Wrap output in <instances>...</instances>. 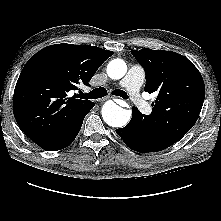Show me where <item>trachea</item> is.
<instances>
[{
    "mask_svg": "<svg viewBox=\"0 0 221 221\" xmlns=\"http://www.w3.org/2000/svg\"><path fill=\"white\" fill-rule=\"evenodd\" d=\"M107 95V90L104 87L96 88L93 91L86 93V94H81L80 98L82 99H97V98H102ZM112 95H116L119 97H122L123 99H128V95L125 91L116 89L112 91Z\"/></svg>",
    "mask_w": 221,
    "mask_h": 221,
    "instance_id": "1",
    "label": "trachea"
}]
</instances>
